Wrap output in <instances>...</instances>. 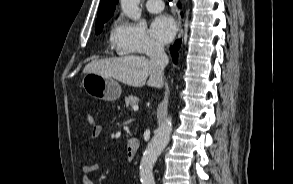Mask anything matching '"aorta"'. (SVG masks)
<instances>
[{
	"label": "aorta",
	"instance_id": "1",
	"mask_svg": "<svg viewBox=\"0 0 293 184\" xmlns=\"http://www.w3.org/2000/svg\"><path fill=\"white\" fill-rule=\"evenodd\" d=\"M140 0H121V8L123 13L132 20H139L141 11L138 4ZM172 132V118L167 117L156 130L155 136L148 144L141 163H140V178L142 184H155L153 177V166L161 154L163 149L170 141Z\"/></svg>",
	"mask_w": 293,
	"mask_h": 184
}]
</instances>
